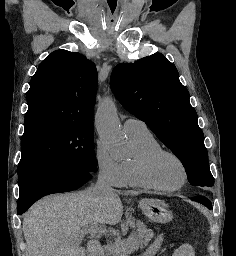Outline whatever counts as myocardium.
<instances>
[{
	"label": "myocardium",
	"mask_w": 236,
	"mask_h": 256,
	"mask_svg": "<svg viewBox=\"0 0 236 256\" xmlns=\"http://www.w3.org/2000/svg\"><path fill=\"white\" fill-rule=\"evenodd\" d=\"M164 155L173 157L182 166L184 171V179L181 184L174 187H168L160 184L155 178L154 165L156 161ZM139 173L141 180L147 187L163 192H173L179 190L187 183L189 179L188 168L183 159L175 152L166 149H158L142 156L139 160Z\"/></svg>",
	"instance_id": "myocardium-1"
}]
</instances>
